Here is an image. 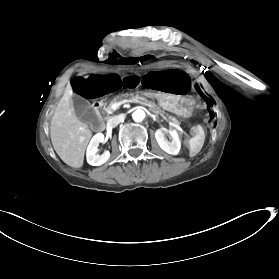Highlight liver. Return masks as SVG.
<instances>
[{"mask_svg": "<svg viewBox=\"0 0 279 279\" xmlns=\"http://www.w3.org/2000/svg\"><path fill=\"white\" fill-rule=\"evenodd\" d=\"M69 86L59 101L51 120L50 135L53 147L67 165L79 168L92 136L87 124L78 120L71 101Z\"/></svg>", "mask_w": 279, "mask_h": 279, "instance_id": "liver-1", "label": "liver"}]
</instances>
